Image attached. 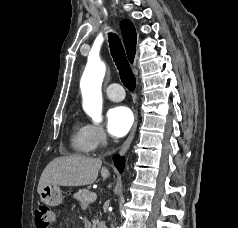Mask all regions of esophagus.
<instances>
[{"instance_id": "obj_1", "label": "esophagus", "mask_w": 238, "mask_h": 228, "mask_svg": "<svg viewBox=\"0 0 238 228\" xmlns=\"http://www.w3.org/2000/svg\"><path fill=\"white\" fill-rule=\"evenodd\" d=\"M137 123H138V119H137V116H136V120H135L134 125L131 129V132H130L129 136L127 137V139L125 140V142L123 143V145L120 148V154L121 155L125 154L126 151L129 149L130 144H131V142L134 138V135H135V132H136V129H137Z\"/></svg>"}]
</instances>
